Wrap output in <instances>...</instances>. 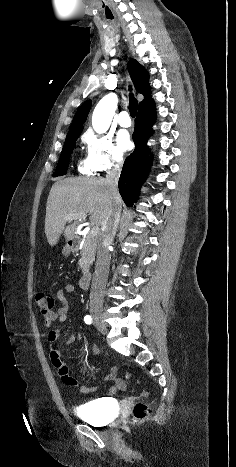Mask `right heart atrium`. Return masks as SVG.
Instances as JSON below:
<instances>
[{
	"mask_svg": "<svg viewBox=\"0 0 236 467\" xmlns=\"http://www.w3.org/2000/svg\"><path fill=\"white\" fill-rule=\"evenodd\" d=\"M82 140L85 144V164L88 169L104 172L121 164L122 157L110 136L87 132Z\"/></svg>",
	"mask_w": 236,
	"mask_h": 467,
	"instance_id": "1",
	"label": "right heart atrium"
}]
</instances>
